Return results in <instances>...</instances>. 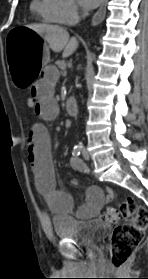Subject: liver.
Masks as SVG:
<instances>
[{
	"instance_id": "1",
	"label": "liver",
	"mask_w": 148,
	"mask_h": 279,
	"mask_svg": "<svg viewBox=\"0 0 148 279\" xmlns=\"http://www.w3.org/2000/svg\"><path fill=\"white\" fill-rule=\"evenodd\" d=\"M26 27L42 36L54 52L59 53L63 51V58L72 55L78 48L76 38L72 37L69 39V33L60 26L32 24L27 25Z\"/></svg>"
}]
</instances>
